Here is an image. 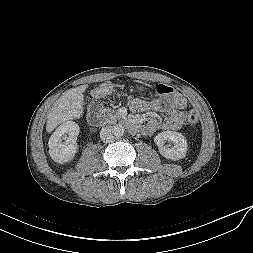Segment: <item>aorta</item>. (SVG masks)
<instances>
[{"label": "aorta", "instance_id": "762f6f07", "mask_svg": "<svg viewBox=\"0 0 253 253\" xmlns=\"http://www.w3.org/2000/svg\"><path fill=\"white\" fill-rule=\"evenodd\" d=\"M116 137H122L125 133V128L122 125H117L113 128Z\"/></svg>", "mask_w": 253, "mask_h": 253}]
</instances>
